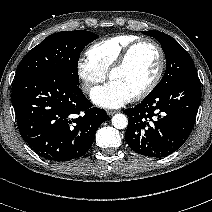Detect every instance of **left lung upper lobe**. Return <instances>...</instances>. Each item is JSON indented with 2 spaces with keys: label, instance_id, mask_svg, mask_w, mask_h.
I'll return each mask as SVG.
<instances>
[{
  "label": "left lung upper lobe",
  "instance_id": "left-lung-upper-lobe-1",
  "mask_svg": "<svg viewBox=\"0 0 212 212\" xmlns=\"http://www.w3.org/2000/svg\"><path fill=\"white\" fill-rule=\"evenodd\" d=\"M143 33L158 40L166 57L165 74L152 91L162 90L184 77L196 74L191 56L175 39L160 31Z\"/></svg>",
  "mask_w": 212,
  "mask_h": 212
}]
</instances>
